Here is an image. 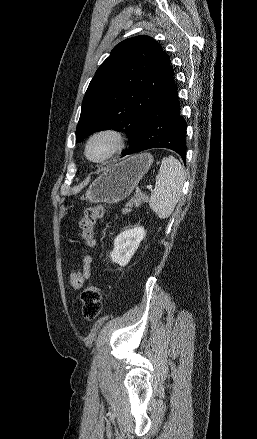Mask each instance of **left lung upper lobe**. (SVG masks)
Segmentation results:
<instances>
[{"mask_svg":"<svg viewBox=\"0 0 257 439\" xmlns=\"http://www.w3.org/2000/svg\"><path fill=\"white\" fill-rule=\"evenodd\" d=\"M173 75L169 56L151 37L136 36L120 42L88 86L76 141L96 131L114 129L127 133L131 150L138 142L145 114Z\"/></svg>","mask_w":257,"mask_h":439,"instance_id":"5c2ea615","label":"left lung upper lobe"}]
</instances>
